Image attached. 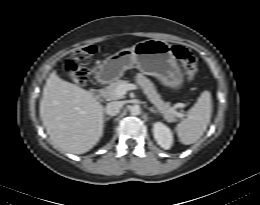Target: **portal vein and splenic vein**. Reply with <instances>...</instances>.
<instances>
[{
    "label": "portal vein and splenic vein",
    "instance_id": "portal-vein-and-splenic-vein-1",
    "mask_svg": "<svg viewBox=\"0 0 260 205\" xmlns=\"http://www.w3.org/2000/svg\"><path fill=\"white\" fill-rule=\"evenodd\" d=\"M136 89V85L135 84H125V85H120L117 87L116 89V94L118 95L119 98H122L123 95L126 94L127 91L129 90H135ZM178 117H183V114L181 113H177Z\"/></svg>",
    "mask_w": 260,
    "mask_h": 205
}]
</instances>
